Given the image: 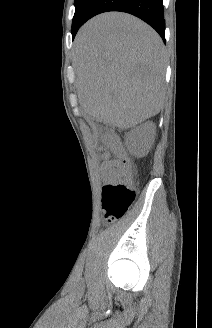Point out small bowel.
Returning <instances> with one entry per match:
<instances>
[{"instance_id":"c3829d8e","label":"small bowel","mask_w":212,"mask_h":328,"mask_svg":"<svg viewBox=\"0 0 212 328\" xmlns=\"http://www.w3.org/2000/svg\"><path fill=\"white\" fill-rule=\"evenodd\" d=\"M101 159L102 170L107 176L111 177L120 174L119 162L117 160L110 159V153L107 150L102 149Z\"/></svg>"}]
</instances>
